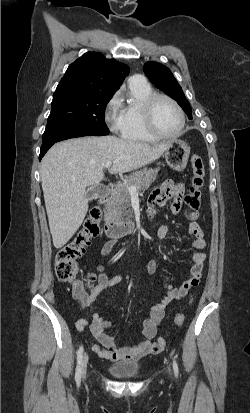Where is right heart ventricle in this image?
I'll use <instances>...</instances> for the list:
<instances>
[{"label":"right heart ventricle","mask_w":250,"mask_h":413,"mask_svg":"<svg viewBox=\"0 0 250 413\" xmlns=\"http://www.w3.org/2000/svg\"><path fill=\"white\" fill-rule=\"evenodd\" d=\"M152 93L154 91L146 81L129 82V95L132 101L121 109L120 134L124 139L136 142H153L156 140L145 128L142 110L144 101Z\"/></svg>","instance_id":"obj_1"}]
</instances>
